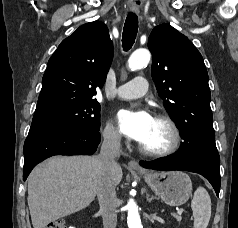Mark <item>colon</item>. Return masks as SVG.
Wrapping results in <instances>:
<instances>
[{"label":"colon","mask_w":238,"mask_h":228,"mask_svg":"<svg viewBox=\"0 0 238 228\" xmlns=\"http://www.w3.org/2000/svg\"><path fill=\"white\" fill-rule=\"evenodd\" d=\"M46 228H73V227H69L67 226V224L62 221V220H55L50 222Z\"/></svg>","instance_id":"5ec220e1"}]
</instances>
